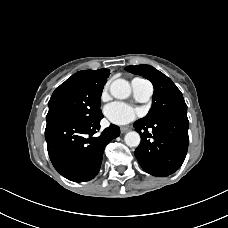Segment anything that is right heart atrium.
I'll list each match as a JSON object with an SVG mask.
<instances>
[{"instance_id":"1","label":"right heart atrium","mask_w":228,"mask_h":228,"mask_svg":"<svg viewBox=\"0 0 228 228\" xmlns=\"http://www.w3.org/2000/svg\"><path fill=\"white\" fill-rule=\"evenodd\" d=\"M108 88H109V85L106 84V85L104 86V88H103V91H102V97H103V98L107 96V94H108Z\"/></svg>"}]
</instances>
